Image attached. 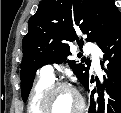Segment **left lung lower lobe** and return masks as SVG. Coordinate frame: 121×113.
Wrapping results in <instances>:
<instances>
[{
	"instance_id": "left-lung-lower-lobe-1",
	"label": "left lung lower lobe",
	"mask_w": 121,
	"mask_h": 113,
	"mask_svg": "<svg viewBox=\"0 0 121 113\" xmlns=\"http://www.w3.org/2000/svg\"><path fill=\"white\" fill-rule=\"evenodd\" d=\"M99 47L105 53L104 61H109L107 69L103 68L108 76V79H105L108 95H104L99 87L97 90L92 89L88 113H121V17L109 37ZM92 82L93 78L89 79L85 85L88 91Z\"/></svg>"
}]
</instances>
